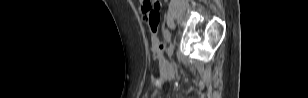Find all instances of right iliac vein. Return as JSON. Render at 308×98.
Returning a JSON list of instances; mask_svg holds the SVG:
<instances>
[{
    "label": "right iliac vein",
    "instance_id": "right-iliac-vein-1",
    "mask_svg": "<svg viewBox=\"0 0 308 98\" xmlns=\"http://www.w3.org/2000/svg\"><path fill=\"white\" fill-rule=\"evenodd\" d=\"M173 54V45H170L168 50V55L171 56Z\"/></svg>",
    "mask_w": 308,
    "mask_h": 98
}]
</instances>
